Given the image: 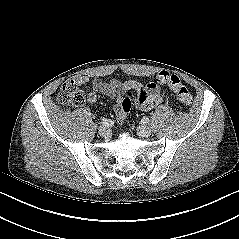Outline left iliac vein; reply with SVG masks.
<instances>
[{
    "label": "left iliac vein",
    "mask_w": 239,
    "mask_h": 239,
    "mask_svg": "<svg viewBox=\"0 0 239 239\" xmlns=\"http://www.w3.org/2000/svg\"><path fill=\"white\" fill-rule=\"evenodd\" d=\"M139 135L143 137H149L152 133L151 129L148 126H140L138 127Z\"/></svg>",
    "instance_id": "1"
}]
</instances>
